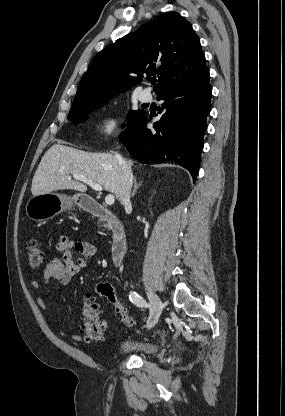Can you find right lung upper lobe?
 I'll return each instance as SVG.
<instances>
[{
	"instance_id": "right-lung-upper-lobe-1",
	"label": "right lung upper lobe",
	"mask_w": 285,
	"mask_h": 416,
	"mask_svg": "<svg viewBox=\"0 0 285 416\" xmlns=\"http://www.w3.org/2000/svg\"><path fill=\"white\" fill-rule=\"evenodd\" d=\"M209 73L205 55L191 24L177 12L164 13L100 51L83 75L71 109L107 100L158 75L157 97ZM137 74L138 77L132 76Z\"/></svg>"
}]
</instances>
